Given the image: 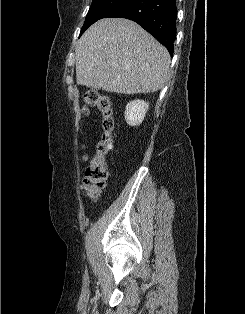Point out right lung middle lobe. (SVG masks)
<instances>
[{
  "instance_id": "1",
  "label": "right lung middle lobe",
  "mask_w": 245,
  "mask_h": 314,
  "mask_svg": "<svg viewBox=\"0 0 245 314\" xmlns=\"http://www.w3.org/2000/svg\"><path fill=\"white\" fill-rule=\"evenodd\" d=\"M126 0H93L92 5L86 15L85 23L81 29L82 33L93 23L104 18L110 11L125 2Z\"/></svg>"
}]
</instances>
